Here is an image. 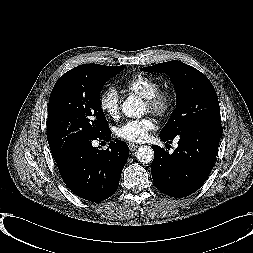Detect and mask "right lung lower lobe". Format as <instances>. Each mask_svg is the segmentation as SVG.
<instances>
[{
	"instance_id": "1",
	"label": "right lung lower lobe",
	"mask_w": 253,
	"mask_h": 253,
	"mask_svg": "<svg viewBox=\"0 0 253 253\" xmlns=\"http://www.w3.org/2000/svg\"><path fill=\"white\" fill-rule=\"evenodd\" d=\"M98 138L110 141V129ZM93 140L77 143L56 163L64 183L74 194L100 202L117 191L129 148L124 141L115 140L108 149L100 150L92 146Z\"/></svg>"
}]
</instances>
